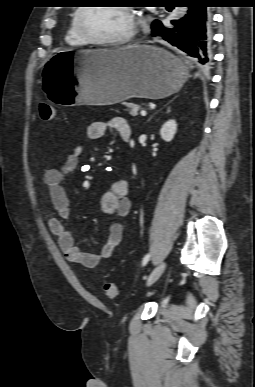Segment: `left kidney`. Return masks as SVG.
I'll list each match as a JSON object with an SVG mask.
<instances>
[{
	"label": "left kidney",
	"instance_id": "obj_1",
	"mask_svg": "<svg viewBox=\"0 0 255 387\" xmlns=\"http://www.w3.org/2000/svg\"><path fill=\"white\" fill-rule=\"evenodd\" d=\"M176 131H177L176 121L169 120L162 126L160 130V136L164 141L170 142L174 138Z\"/></svg>",
	"mask_w": 255,
	"mask_h": 387
}]
</instances>
